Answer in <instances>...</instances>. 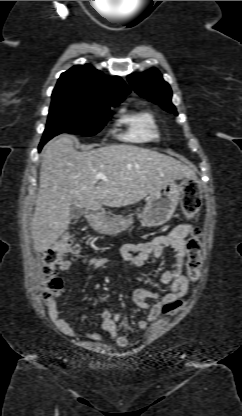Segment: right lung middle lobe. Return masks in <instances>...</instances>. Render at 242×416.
I'll return each instance as SVG.
<instances>
[{
    "mask_svg": "<svg viewBox=\"0 0 242 416\" xmlns=\"http://www.w3.org/2000/svg\"><path fill=\"white\" fill-rule=\"evenodd\" d=\"M120 102L52 100L47 126L41 142L60 133L93 136L108 122L111 107Z\"/></svg>",
    "mask_w": 242,
    "mask_h": 416,
    "instance_id": "dd1d6c3e",
    "label": "right lung middle lobe"
}]
</instances>
